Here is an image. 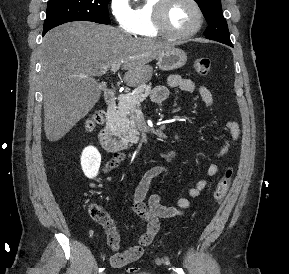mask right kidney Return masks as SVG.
<instances>
[{"mask_svg":"<svg viewBox=\"0 0 289 274\" xmlns=\"http://www.w3.org/2000/svg\"><path fill=\"white\" fill-rule=\"evenodd\" d=\"M101 164V155L99 151L93 147H86L81 156V167L86 177L94 178L97 176Z\"/></svg>","mask_w":289,"mask_h":274,"instance_id":"ca27d5eb","label":"right kidney"}]
</instances>
